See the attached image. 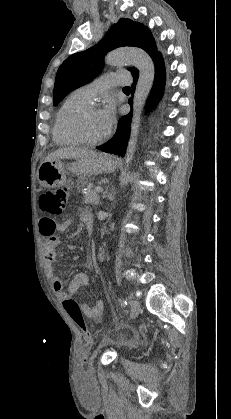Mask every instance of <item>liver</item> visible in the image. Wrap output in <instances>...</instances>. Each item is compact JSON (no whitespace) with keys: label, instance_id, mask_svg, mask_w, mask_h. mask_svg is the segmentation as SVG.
<instances>
[{"label":"liver","instance_id":"obj_1","mask_svg":"<svg viewBox=\"0 0 231 419\" xmlns=\"http://www.w3.org/2000/svg\"><path fill=\"white\" fill-rule=\"evenodd\" d=\"M95 152L88 149H82V148H74V147H68V148H62L58 149L55 152L49 154L43 162L51 161L55 159H69V158H84L87 156L93 155Z\"/></svg>","mask_w":231,"mask_h":419}]
</instances>
